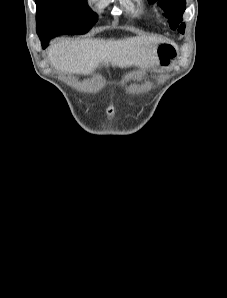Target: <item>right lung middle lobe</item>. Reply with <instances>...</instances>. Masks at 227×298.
<instances>
[{
  "instance_id": "obj_1",
  "label": "right lung middle lobe",
  "mask_w": 227,
  "mask_h": 298,
  "mask_svg": "<svg viewBox=\"0 0 227 298\" xmlns=\"http://www.w3.org/2000/svg\"><path fill=\"white\" fill-rule=\"evenodd\" d=\"M36 30L60 34H84L97 21L87 0H36Z\"/></svg>"
}]
</instances>
